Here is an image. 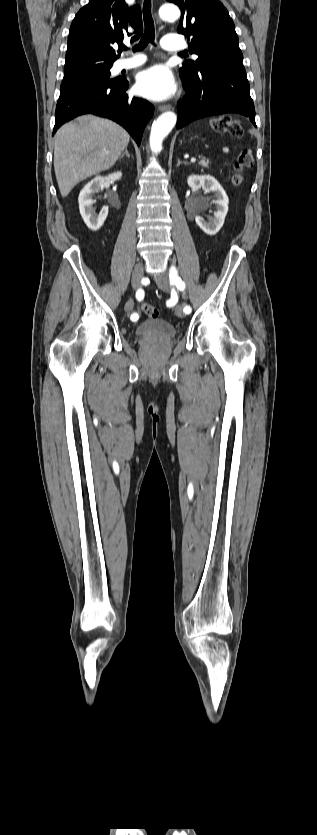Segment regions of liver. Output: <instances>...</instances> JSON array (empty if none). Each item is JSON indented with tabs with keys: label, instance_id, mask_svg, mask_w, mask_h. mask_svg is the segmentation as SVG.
<instances>
[{
	"label": "liver",
	"instance_id": "liver-1",
	"mask_svg": "<svg viewBox=\"0 0 317 835\" xmlns=\"http://www.w3.org/2000/svg\"><path fill=\"white\" fill-rule=\"evenodd\" d=\"M130 135L115 122L82 116L55 134L54 169L62 197L80 181L112 167L128 146Z\"/></svg>",
	"mask_w": 317,
	"mask_h": 835
}]
</instances>
